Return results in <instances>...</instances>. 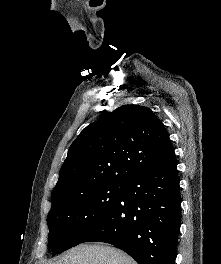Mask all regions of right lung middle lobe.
I'll list each match as a JSON object with an SVG mask.
<instances>
[{"label": "right lung middle lobe", "instance_id": "obj_1", "mask_svg": "<svg viewBox=\"0 0 221 264\" xmlns=\"http://www.w3.org/2000/svg\"><path fill=\"white\" fill-rule=\"evenodd\" d=\"M124 182L106 183L75 193L51 209L48 241L53 255L80 244L111 212Z\"/></svg>", "mask_w": 221, "mask_h": 264}]
</instances>
